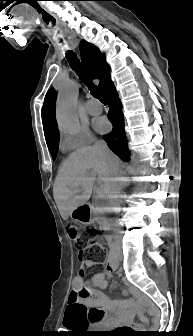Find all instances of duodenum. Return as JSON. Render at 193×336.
Masks as SVG:
<instances>
[{
    "label": "duodenum",
    "mask_w": 193,
    "mask_h": 336,
    "mask_svg": "<svg viewBox=\"0 0 193 336\" xmlns=\"http://www.w3.org/2000/svg\"><path fill=\"white\" fill-rule=\"evenodd\" d=\"M108 260H109V266L111 268H116L115 254L113 247L110 248Z\"/></svg>",
    "instance_id": "1"
}]
</instances>
